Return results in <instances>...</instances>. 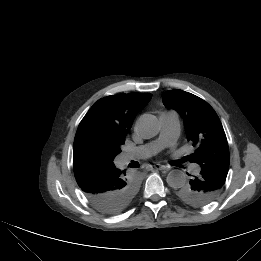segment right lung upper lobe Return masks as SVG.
<instances>
[{"mask_svg": "<svg viewBox=\"0 0 261 261\" xmlns=\"http://www.w3.org/2000/svg\"><path fill=\"white\" fill-rule=\"evenodd\" d=\"M151 96L148 93L119 94L95 102L78 126L74 161L86 160L79 144L88 135L125 140L136 114L150 101Z\"/></svg>", "mask_w": 261, "mask_h": 261, "instance_id": "1", "label": "right lung upper lobe"}]
</instances>
